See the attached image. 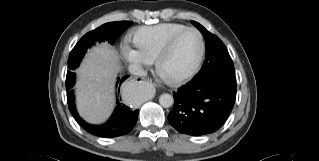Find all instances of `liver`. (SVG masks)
<instances>
[{
	"mask_svg": "<svg viewBox=\"0 0 319 161\" xmlns=\"http://www.w3.org/2000/svg\"><path fill=\"white\" fill-rule=\"evenodd\" d=\"M119 66L118 52L106 43L88 51L78 69L76 84L79 114L90 123H102L114 106V81Z\"/></svg>",
	"mask_w": 319,
	"mask_h": 161,
	"instance_id": "obj_1",
	"label": "liver"
}]
</instances>
